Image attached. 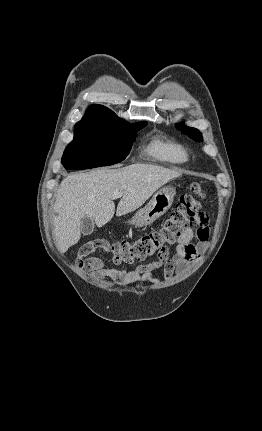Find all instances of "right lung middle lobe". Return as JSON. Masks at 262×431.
Masks as SVG:
<instances>
[{
	"mask_svg": "<svg viewBox=\"0 0 262 431\" xmlns=\"http://www.w3.org/2000/svg\"><path fill=\"white\" fill-rule=\"evenodd\" d=\"M146 124H130L121 119L106 124L75 125L74 139L64 151L62 164L74 170L119 163L128 156L135 132Z\"/></svg>",
	"mask_w": 262,
	"mask_h": 431,
	"instance_id": "dd1d6c3e",
	"label": "right lung middle lobe"
}]
</instances>
